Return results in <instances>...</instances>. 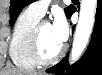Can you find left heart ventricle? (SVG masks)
<instances>
[{
  "instance_id": "obj_1",
  "label": "left heart ventricle",
  "mask_w": 102,
  "mask_h": 75,
  "mask_svg": "<svg viewBox=\"0 0 102 75\" xmlns=\"http://www.w3.org/2000/svg\"><path fill=\"white\" fill-rule=\"evenodd\" d=\"M40 51L43 57L51 58L57 54L62 45L59 43L52 25H45L41 31L40 38Z\"/></svg>"
}]
</instances>
